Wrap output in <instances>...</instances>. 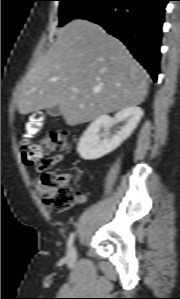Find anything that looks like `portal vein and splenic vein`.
Returning a JSON list of instances; mask_svg holds the SVG:
<instances>
[{
	"mask_svg": "<svg viewBox=\"0 0 180 299\" xmlns=\"http://www.w3.org/2000/svg\"><path fill=\"white\" fill-rule=\"evenodd\" d=\"M73 91H74V92H78V89H74Z\"/></svg>",
	"mask_w": 180,
	"mask_h": 299,
	"instance_id": "portal-vein-and-splenic-vein-1",
	"label": "portal vein and splenic vein"
}]
</instances>
